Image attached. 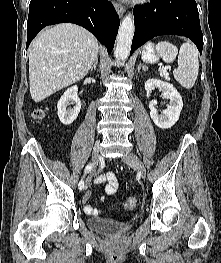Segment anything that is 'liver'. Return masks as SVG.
<instances>
[{
  "label": "liver",
  "mask_w": 221,
  "mask_h": 263,
  "mask_svg": "<svg viewBox=\"0 0 221 263\" xmlns=\"http://www.w3.org/2000/svg\"><path fill=\"white\" fill-rule=\"evenodd\" d=\"M99 44L86 29L62 23L42 31L29 53V86L37 103L83 79L98 58Z\"/></svg>",
  "instance_id": "6515ba94"
}]
</instances>
